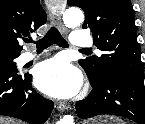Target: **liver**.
I'll list each match as a JSON object with an SVG mask.
<instances>
[{"mask_svg":"<svg viewBox=\"0 0 145 124\" xmlns=\"http://www.w3.org/2000/svg\"><path fill=\"white\" fill-rule=\"evenodd\" d=\"M0 124H19L17 123L15 120H7V119H3V118H0Z\"/></svg>","mask_w":145,"mask_h":124,"instance_id":"liver-1","label":"liver"}]
</instances>
